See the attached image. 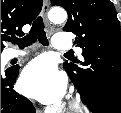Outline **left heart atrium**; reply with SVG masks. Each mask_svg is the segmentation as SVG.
Listing matches in <instances>:
<instances>
[{
	"mask_svg": "<svg viewBox=\"0 0 121 113\" xmlns=\"http://www.w3.org/2000/svg\"><path fill=\"white\" fill-rule=\"evenodd\" d=\"M20 85L26 95L44 104H52L62 99L67 82L53 62L39 58L26 67Z\"/></svg>",
	"mask_w": 121,
	"mask_h": 113,
	"instance_id": "1",
	"label": "left heart atrium"
}]
</instances>
